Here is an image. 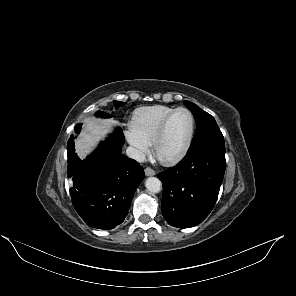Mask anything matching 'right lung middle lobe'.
I'll list each match as a JSON object with an SVG mask.
<instances>
[{
	"label": "right lung middle lobe",
	"instance_id": "dd1d6c3e",
	"mask_svg": "<svg viewBox=\"0 0 296 296\" xmlns=\"http://www.w3.org/2000/svg\"><path fill=\"white\" fill-rule=\"evenodd\" d=\"M114 104H115L116 107H118V106H122V105H124L125 102L114 101ZM96 116H98V117L100 116V117H103V118H108V117H110L111 115H110V114H107V113H105V112H100V111H98V112H96Z\"/></svg>",
	"mask_w": 296,
	"mask_h": 296
}]
</instances>
